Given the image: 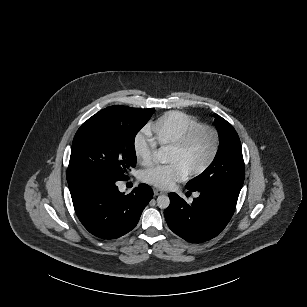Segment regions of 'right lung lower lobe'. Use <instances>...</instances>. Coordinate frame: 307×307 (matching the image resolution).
Masks as SVG:
<instances>
[{
  "label": "right lung lower lobe",
  "mask_w": 307,
  "mask_h": 307,
  "mask_svg": "<svg viewBox=\"0 0 307 307\" xmlns=\"http://www.w3.org/2000/svg\"><path fill=\"white\" fill-rule=\"evenodd\" d=\"M116 178L90 177L68 183L75 212L84 227L102 239H114L131 231L153 197L140 184L130 194L118 191Z\"/></svg>",
  "instance_id": "98d812e1"
}]
</instances>
